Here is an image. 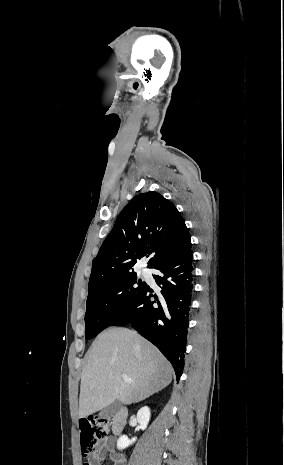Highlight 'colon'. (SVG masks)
<instances>
[{"label":"colon","instance_id":"1","mask_svg":"<svg viewBox=\"0 0 284 465\" xmlns=\"http://www.w3.org/2000/svg\"><path fill=\"white\" fill-rule=\"evenodd\" d=\"M80 454L87 458L94 447L96 441L103 439L109 433L108 423L92 422L88 426L81 425Z\"/></svg>","mask_w":284,"mask_h":465}]
</instances>
